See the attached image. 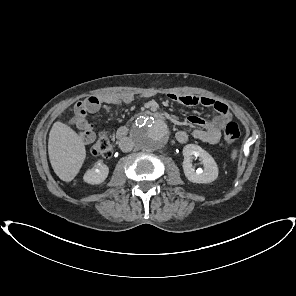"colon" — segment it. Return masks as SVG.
<instances>
[{
    "instance_id": "colon-1",
    "label": "colon",
    "mask_w": 296,
    "mask_h": 296,
    "mask_svg": "<svg viewBox=\"0 0 296 296\" xmlns=\"http://www.w3.org/2000/svg\"><path fill=\"white\" fill-rule=\"evenodd\" d=\"M78 112H84V109L79 107ZM240 136V129L235 122H229L224 129V139L227 143L235 142ZM92 153L95 156L108 158L113 153V148L109 137L105 133H101L94 145L92 146Z\"/></svg>"
}]
</instances>
